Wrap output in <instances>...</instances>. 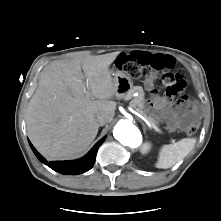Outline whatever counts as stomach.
<instances>
[{"mask_svg":"<svg viewBox=\"0 0 221 221\" xmlns=\"http://www.w3.org/2000/svg\"><path fill=\"white\" fill-rule=\"evenodd\" d=\"M113 75V81L116 84V94L120 97L125 96L133 88L132 79L120 70H116Z\"/></svg>","mask_w":221,"mask_h":221,"instance_id":"obj_1","label":"stomach"}]
</instances>
